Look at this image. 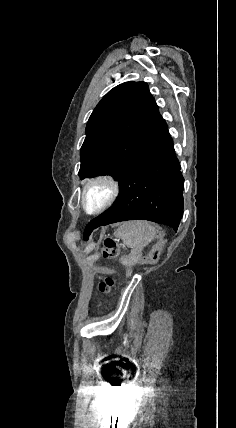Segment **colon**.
<instances>
[{
	"mask_svg": "<svg viewBox=\"0 0 236 428\" xmlns=\"http://www.w3.org/2000/svg\"><path fill=\"white\" fill-rule=\"evenodd\" d=\"M103 254L106 257H114L117 254V243L113 238L107 237L104 240ZM129 274L130 270H126ZM115 284L114 279L106 278L99 283V291L102 293H109Z\"/></svg>",
	"mask_w": 236,
	"mask_h": 428,
	"instance_id": "colon-1",
	"label": "colon"
}]
</instances>
